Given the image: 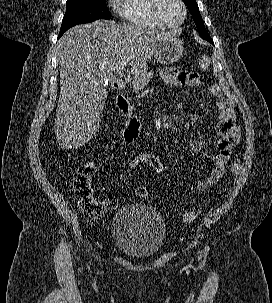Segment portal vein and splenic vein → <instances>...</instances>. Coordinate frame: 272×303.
Listing matches in <instances>:
<instances>
[{"mask_svg": "<svg viewBox=\"0 0 272 303\" xmlns=\"http://www.w3.org/2000/svg\"><path fill=\"white\" fill-rule=\"evenodd\" d=\"M123 63L126 65L128 63V59L123 60Z\"/></svg>", "mask_w": 272, "mask_h": 303, "instance_id": "18ae733b", "label": "portal vein and splenic vein"}]
</instances>
